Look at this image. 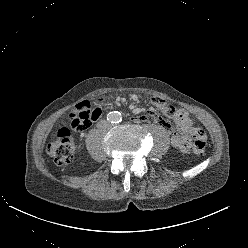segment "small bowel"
<instances>
[{
    "label": "small bowel",
    "mask_w": 248,
    "mask_h": 248,
    "mask_svg": "<svg viewBox=\"0 0 248 248\" xmlns=\"http://www.w3.org/2000/svg\"><path fill=\"white\" fill-rule=\"evenodd\" d=\"M151 105L154 109L160 110L161 116L166 120L176 121L179 130L172 133L171 144L174 148L182 152L188 151L191 146L190 134L194 131L191 128L192 121L188 114L183 110L176 109L166 100H162L160 96H153L151 98ZM152 107L147 109V112L151 115L147 117V122L151 125H157L159 123L164 129L170 131L171 125L165 121ZM134 112L139 114L142 112V109L135 108ZM101 113V109L99 108V112L95 120L99 119ZM144 119L145 116L140 117V120Z\"/></svg>",
    "instance_id": "obj_1"
}]
</instances>
